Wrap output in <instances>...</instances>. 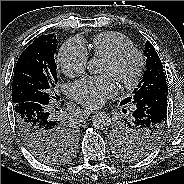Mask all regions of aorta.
Masks as SVG:
<instances>
[{"instance_id":"obj_1","label":"aorta","mask_w":184,"mask_h":184,"mask_svg":"<svg viewBox=\"0 0 184 184\" xmlns=\"http://www.w3.org/2000/svg\"><path fill=\"white\" fill-rule=\"evenodd\" d=\"M87 69L91 74L101 73V65L96 60H90L87 64ZM111 116L106 112H98L93 115L92 123L97 129L104 130L111 125Z\"/></svg>"}]
</instances>
